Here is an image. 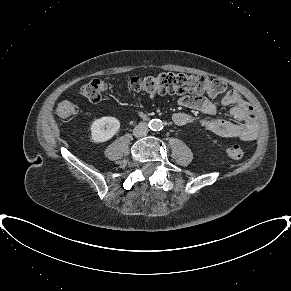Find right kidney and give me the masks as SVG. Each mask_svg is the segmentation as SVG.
<instances>
[{"instance_id": "right-kidney-1", "label": "right kidney", "mask_w": 291, "mask_h": 291, "mask_svg": "<svg viewBox=\"0 0 291 291\" xmlns=\"http://www.w3.org/2000/svg\"><path fill=\"white\" fill-rule=\"evenodd\" d=\"M120 122L114 117L96 119L91 125V139L95 143L110 140L119 130Z\"/></svg>"}]
</instances>
